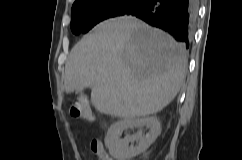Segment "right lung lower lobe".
<instances>
[{
    "instance_id": "1",
    "label": "right lung lower lobe",
    "mask_w": 242,
    "mask_h": 160,
    "mask_svg": "<svg viewBox=\"0 0 242 160\" xmlns=\"http://www.w3.org/2000/svg\"><path fill=\"white\" fill-rule=\"evenodd\" d=\"M198 0H143L124 15L158 27L188 48L197 17Z\"/></svg>"
}]
</instances>
